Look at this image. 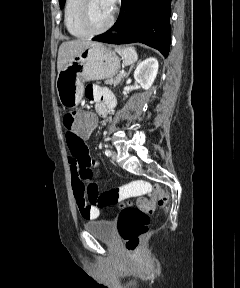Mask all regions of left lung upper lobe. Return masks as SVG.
<instances>
[{
	"label": "left lung upper lobe",
	"mask_w": 240,
	"mask_h": 288,
	"mask_svg": "<svg viewBox=\"0 0 240 288\" xmlns=\"http://www.w3.org/2000/svg\"><path fill=\"white\" fill-rule=\"evenodd\" d=\"M59 3H60V7H62L65 3V0H59Z\"/></svg>",
	"instance_id": "5c2ea615"
}]
</instances>
